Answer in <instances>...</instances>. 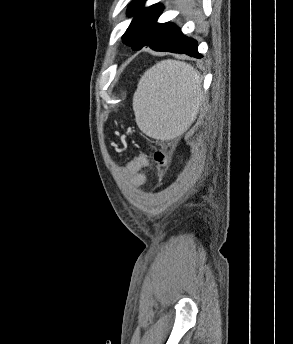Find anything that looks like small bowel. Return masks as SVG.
<instances>
[{
    "instance_id": "1",
    "label": "small bowel",
    "mask_w": 293,
    "mask_h": 344,
    "mask_svg": "<svg viewBox=\"0 0 293 344\" xmlns=\"http://www.w3.org/2000/svg\"><path fill=\"white\" fill-rule=\"evenodd\" d=\"M149 166V160L144 154L137 155L128 165L126 171L131 177L132 185L141 187L146 183V177L143 169Z\"/></svg>"
}]
</instances>
